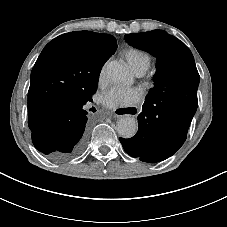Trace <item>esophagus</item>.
I'll return each instance as SVG.
<instances>
[{
    "label": "esophagus",
    "mask_w": 227,
    "mask_h": 227,
    "mask_svg": "<svg viewBox=\"0 0 227 227\" xmlns=\"http://www.w3.org/2000/svg\"><path fill=\"white\" fill-rule=\"evenodd\" d=\"M139 108H118L115 110L116 116H134L135 113H138Z\"/></svg>",
    "instance_id": "esophagus-1"
}]
</instances>
